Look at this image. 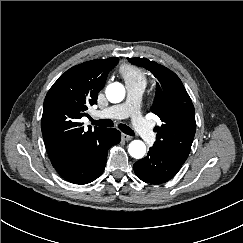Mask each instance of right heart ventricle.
<instances>
[{
	"mask_svg": "<svg viewBox=\"0 0 243 243\" xmlns=\"http://www.w3.org/2000/svg\"><path fill=\"white\" fill-rule=\"evenodd\" d=\"M120 73L126 84L128 83H140L145 86L146 84V75L145 73L138 67L125 64L120 68Z\"/></svg>",
	"mask_w": 243,
	"mask_h": 243,
	"instance_id": "right-heart-ventricle-1",
	"label": "right heart ventricle"
}]
</instances>
